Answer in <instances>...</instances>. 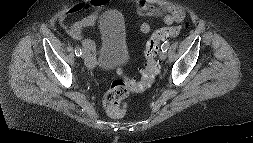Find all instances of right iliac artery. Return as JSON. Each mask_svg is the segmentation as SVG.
Masks as SVG:
<instances>
[{"label": "right iliac artery", "mask_w": 253, "mask_h": 143, "mask_svg": "<svg viewBox=\"0 0 253 143\" xmlns=\"http://www.w3.org/2000/svg\"><path fill=\"white\" fill-rule=\"evenodd\" d=\"M75 54H76V56H81L82 55V50H81V48H79V47H77L76 49H75Z\"/></svg>", "instance_id": "1"}]
</instances>
